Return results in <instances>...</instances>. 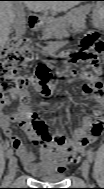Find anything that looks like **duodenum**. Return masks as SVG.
<instances>
[{
    "label": "duodenum",
    "mask_w": 104,
    "mask_h": 189,
    "mask_svg": "<svg viewBox=\"0 0 104 189\" xmlns=\"http://www.w3.org/2000/svg\"><path fill=\"white\" fill-rule=\"evenodd\" d=\"M28 26L33 32L39 31L41 27V21L34 16L29 17Z\"/></svg>",
    "instance_id": "410a0bca"
}]
</instances>
